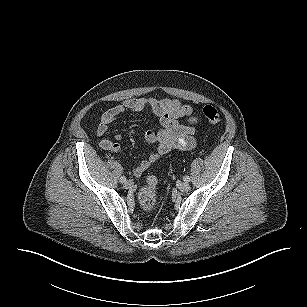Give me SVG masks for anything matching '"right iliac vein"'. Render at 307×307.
<instances>
[{
  "label": "right iliac vein",
  "mask_w": 307,
  "mask_h": 307,
  "mask_svg": "<svg viewBox=\"0 0 307 307\" xmlns=\"http://www.w3.org/2000/svg\"><path fill=\"white\" fill-rule=\"evenodd\" d=\"M124 187H125L126 189H130V188L133 187V183H132L131 181H126V182L124 183Z\"/></svg>",
  "instance_id": "1"
}]
</instances>
